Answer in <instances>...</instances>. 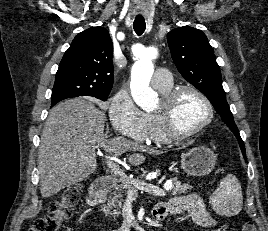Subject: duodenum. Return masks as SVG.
<instances>
[{"label": "duodenum", "mask_w": 268, "mask_h": 231, "mask_svg": "<svg viewBox=\"0 0 268 231\" xmlns=\"http://www.w3.org/2000/svg\"><path fill=\"white\" fill-rule=\"evenodd\" d=\"M118 182V178L113 175H106L99 178L91 188V193L88 197V204L90 206H96L99 202H101L105 196L106 191L115 186Z\"/></svg>", "instance_id": "1"}]
</instances>
